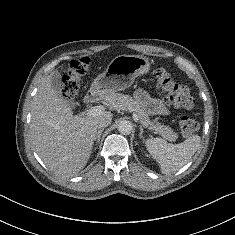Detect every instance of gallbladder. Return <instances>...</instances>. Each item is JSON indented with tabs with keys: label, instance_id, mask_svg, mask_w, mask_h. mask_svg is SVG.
Here are the masks:
<instances>
[{
	"label": "gallbladder",
	"instance_id": "1",
	"mask_svg": "<svg viewBox=\"0 0 235 235\" xmlns=\"http://www.w3.org/2000/svg\"><path fill=\"white\" fill-rule=\"evenodd\" d=\"M52 81H53V85L54 88L58 91L57 92V99L64 105H66L67 107H70L71 109L75 108V103L73 101H67L63 98L62 96V92L59 91L60 86H61V82H60V75L59 73L55 72L52 76Z\"/></svg>",
	"mask_w": 235,
	"mask_h": 235
}]
</instances>
